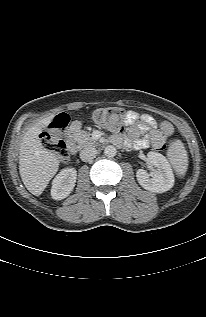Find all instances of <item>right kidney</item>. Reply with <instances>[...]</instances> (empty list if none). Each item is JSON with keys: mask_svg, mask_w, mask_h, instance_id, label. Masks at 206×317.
<instances>
[{"mask_svg": "<svg viewBox=\"0 0 206 317\" xmlns=\"http://www.w3.org/2000/svg\"><path fill=\"white\" fill-rule=\"evenodd\" d=\"M77 178L75 168L62 169L53 179L51 196L55 200L66 198L73 190Z\"/></svg>", "mask_w": 206, "mask_h": 317, "instance_id": "ca27d5eb", "label": "right kidney"}]
</instances>
